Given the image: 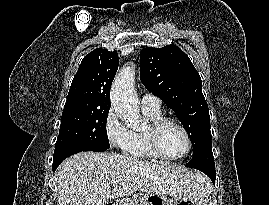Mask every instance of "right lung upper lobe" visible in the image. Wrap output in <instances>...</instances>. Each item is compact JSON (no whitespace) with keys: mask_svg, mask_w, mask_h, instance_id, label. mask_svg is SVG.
<instances>
[{"mask_svg":"<svg viewBox=\"0 0 269 205\" xmlns=\"http://www.w3.org/2000/svg\"><path fill=\"white\" fill-rule=\"evenodd\" d=\"M118 64L116 51L98 48L86 55L72 80L65 107L110 108V88Z\"/></svg>","mask_w":269,"mask_h":205,"instance_id":"cb5924a9","label":"right lung upper lobe"}]
</instances>
